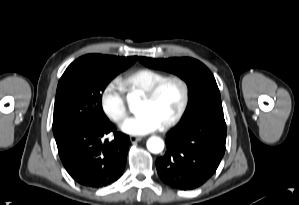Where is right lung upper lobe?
<instances>
[{"instance_id":"obj_1","label":"right lung upper lobe","mask_w":299,"mask_h":205,"mask_svg":"<svg viewBox=\"0 0 299 205\" xmlns=\"http://www.w3.org/2000/svg\"><path fill=\"white\" fill-rule=\"evenodd\" d=\"M80 60L87 61V60H96V59H104V60H111V61H117V62H127L130 64H133L137 57L132 56V57H115V56H108V55H100V54H89L85 55L81 58Z\"/></svg>"}]
</instances>
